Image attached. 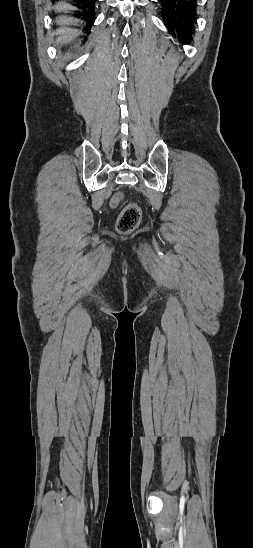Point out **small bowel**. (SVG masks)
Instances as JSON below:
<instances>
[{"instance_id": "c3829d8e", "label": "small bowel", "mask_w": 253, "mask_h": 548, "mask_svg": "<svg viewBox=\"0 0 253 548\" xmlns=\"http://www.w3.org/2000/svg\"><path fill=\"white\" fill-rule=\"evenodd\" d=\"M122 197H123V194L121 192H117L111 200L112 206L114 207L117 206L121 202Z\"/></svg>"}]
</instances>
